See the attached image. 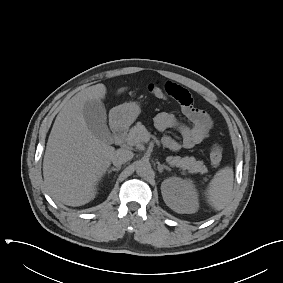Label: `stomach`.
Here are the masks:
<instances>
[{
  "label": "stomach",
  "instance_id": "stomach-1",
  "mask_svg": "<svg viewBox=\"0 0 283 283\" xmlns=\"http://www.w3.org/2000/svg\"><path fill=\"white\" fill-rule=\"evenodd\" d=\"M141 112L140 105L136 102L124 103L113 110V119L118 125L132 124Z\"/></svg>",
  "mask_w": 283,
  "mask_h": 283
}]
</instances>
